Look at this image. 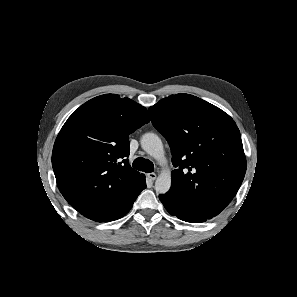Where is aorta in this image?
<instances>
[{
    "mask_svg": "<svg viewBox=\"0 0 297 297\" xmlns=\"http://www.w3.org/2000/svg\"><path fill=\"white\" fill-rule=\"evenodd\" d=\"M140 144L142 149L154 157L158 162L164 157V148L161 139L154 133H146L141 137ZM171 187V174L163 171L156 179L155 190L158 194H164Z\"/></svg>",
    "mask_w": 297,
    "mask_h": 297,
    "instance_id": "1",
    "label": "aorta"
}]
</instances>
